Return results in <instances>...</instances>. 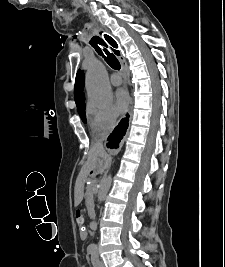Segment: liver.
Masks as SVG:
<instances>
[{"label":"liver","mask_w":225,"mask_h":267,"mask_svg":"<svg viewBox=\"0 0 225 267\" xmlns=\"http://www.w3.org/2000/svg\"><path fill=\"white\" fill-rule=\"evenodd\" d=\"M101 158L102 160H100ZM108 158L107 153L104 148L98 144H94L88 154V160L84 164L78 178V182L75 187V206H78L83 199V187L84 178L88 175L91 169L99 167L101 170L104 169L102 167L103 160L106 161Z\"/></svg>","instance_id":"6515ba94"}]
</instances>
